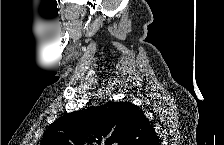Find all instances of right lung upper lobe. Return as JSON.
Masks as SVG:
<instances>
[{
	"label": "right lung upper lobe",
	"instance_id": "cb5924a9",
	"mask_svg": "<svg viewBox=\"0 0 224 145\" xmlns=\"http://www.w3.org/2000/svg\"><path fill=\"white\" fill-rule=\"evenodd\" d=\"M154 145L159 142L144 113L130 102H107L58 118L40 145Z\"/></svg>",
	"mask_w": 224,
	"mask_h": 145
}]
</instances>
